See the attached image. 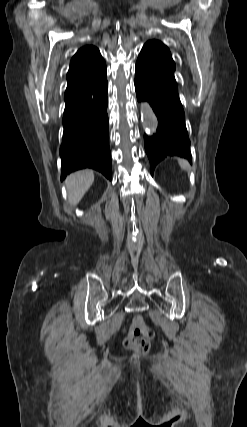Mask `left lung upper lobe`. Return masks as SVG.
Returning <instances> with one entry per match:
<instances>
[{
	"label": "left lung upper lobe",
	"mask_w": 247,
	"mask_h": 427,
	"mask_svg": "<svg viewBox=\"0 0 247 427\" xmlns=\"http://www.w3.org/2000/svg\"><path fill=\"white\" fill-rule=\"evenodd\" d=\"M139 57L148 61L162 73L166 74L174 82L175 63L169 49L160 41H148L142 48Z\"/></svg>",
	"instance_id": "obj_1"
}]
</instances>
